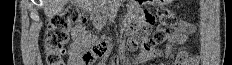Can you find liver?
Segmentation results:
<instances>
[{
  "label": "liver",
  "instance_id": "obj_1",
  "mask_svg": "<svg viewBox=\"0 0 232 65\" xmlns=\"http://www.w3.org/2000/svg\"><path fill=\"white\" fill-rule=\"evenodd\" d=\"M44 3V14L52 18L61 12L68 0H42Z\"/></svg>",
  "mask_w": 232,
  "mask_h": 65
}]
</instances>
